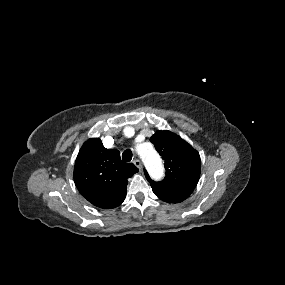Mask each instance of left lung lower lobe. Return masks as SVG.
<instances>
[{"label": "left lung lower lobe", "instance_id": "obj_1", "mask_svg": "<svg viewBox=\"0 0 285 285\" xmlns=\"http://www.w3.org/2000/svg\"><path fill=\"white\" fill-rule=\"evenodd\" d=\"M153 192L155 195L168 203H179L185 200L190 196L191 193L181 190H169V189H163V188H157L153 187Z\"/></svg>", "mask_w": 285, "mask_h": 285}]
</instances>
